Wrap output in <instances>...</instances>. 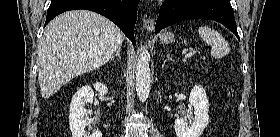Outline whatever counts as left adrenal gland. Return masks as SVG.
Segmentation results:
<instances>
[{"mask_svg": "<svg viewBox=\"0 0 280 137\" xmlns=\"http://www.w3.org/2000/svg\"><path fill=\"white\" fill-rule=\"evenodd\" d=\"M167 61H174V59L172 57H170L169 53L166 54V59H165V61H164L162 66H164Z\"/></svg>", "mask_w": 280, "mask_h": 137, "instance_id": "left-adrenal-gland-1", "label": "left adrenal gland"}]
</instances>
